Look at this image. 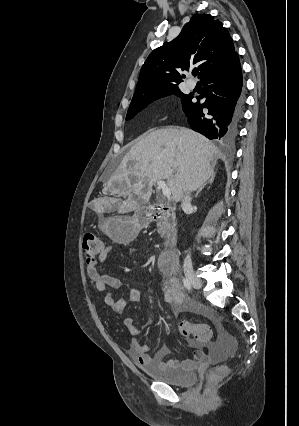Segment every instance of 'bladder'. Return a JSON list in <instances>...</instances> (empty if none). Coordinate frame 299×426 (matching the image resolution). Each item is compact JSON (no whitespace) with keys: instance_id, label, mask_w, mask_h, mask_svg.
I'll return each mask as SVG.
<instances>
[{"instance_id":"bladder-1","label":"bladder","mask_w":299,"mask_h":426,"mask_svg":"<svg viewBox=\"0 0 299 426\" xmlns=\"http://www.w3.org/2000/svg\"><path fill=\"white\" fill-rule=\"evenodd\" d=\"M141 370L157 381H161L178 387H187L197 380V373L194 370H183L180 368L159 369L150 365H142Z\"/></svg>"}]
</instances>
